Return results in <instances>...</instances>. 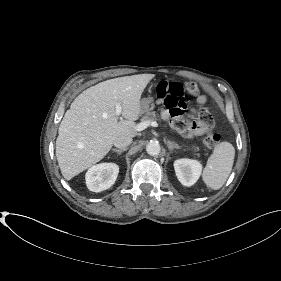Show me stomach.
Listing matches in <instances>:
<instances>
[{
  "instance_id": "stomach-1",
  "label": "stomach",
  "mask_w": 281,
  "mask_h": 281,
  "mask_svg": "<svg viewBox=\"0 0 281 281\" xmlns=\"http://www.w3.org/2000/svg\"><path fill=\"white\" fill-rule=\"evenodd\" d=\"M154 100L151 97L144 98L140 102L141 114L150 112L154 109Z\"/></svg>"
}]
</instances>
